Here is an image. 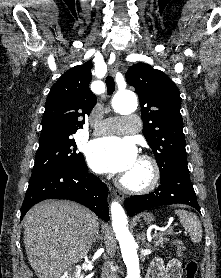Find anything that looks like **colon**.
<instances>
[{
	"label": "colon",
	"instance_id": "5ec220e1",
	"mask_svg": "<svg viewBox=\"0 0 221 278\" xmlns=\"http://www.w3.org/2000/svg\"><path fill=\"white\" fill-rule=\"evenodd\" d=\"M174 248L179 256L184 257L186 246L182 241H175ZM198 263L194 259H185V275L184 278H197Z\"/></svg>",
	"mask_w": 221,
	"mask_h": 278
}]
</instances>
